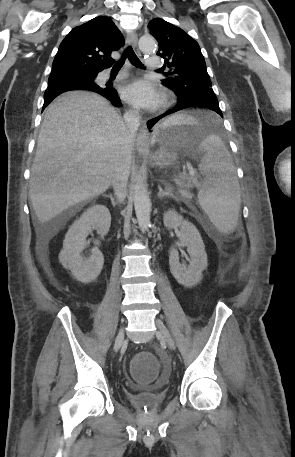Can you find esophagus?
<instances>
[{
	"mask_svg": "<svg viewBox=\"0 0 295 457\" xmlns=\"http://www.w3.org/2000/svg\"><path fill=\"white\" fill-rule=\"evenodd\" d=\"M126 41H127L128 45L136 47L137 42H138L137 33L136 32L129 33L127 35ZM148 138H149V132H148L146 126L143 125L140 128L138 135H137V139H136L138 148L143 152L147 151V149H148Z\"/></svg>",
	"mask_w": 295,
	"mask_h": 457,
	"instance_id": "1",
	"label": "esophagus"
}]
</instances>
